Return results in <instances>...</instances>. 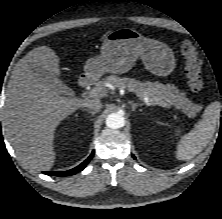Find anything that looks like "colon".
Masks as SVG:
<instances>
[{
	"label": "colon",
	"instance_id": "1",
	"mask_svg": "<svg viewBox=\"0 0 222 219\" xmlns=\"http://www.w3.org/2000/svg\"><path fill=\"white\" fill-rule=\"evenodd\" d=\"M181 52L185 58V75L190 90L194 93H202L205 88V80L201 71V60L195 46L190 41H183Z\"/></svg>",
	"mask_w": 222,
	"mask_h": 219
}]
</instances>
